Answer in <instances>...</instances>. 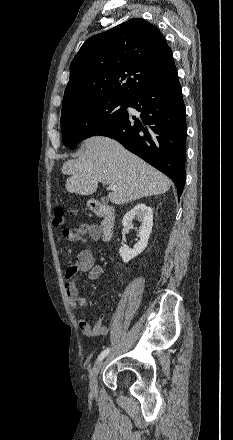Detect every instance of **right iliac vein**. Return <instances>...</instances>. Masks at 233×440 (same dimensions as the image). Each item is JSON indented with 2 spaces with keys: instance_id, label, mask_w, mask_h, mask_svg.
<instances>
[{
  "instance_id": "1",
  "label": "right iliac vein",
  "mask_w": 233,
  "mask_h": 440,
  "mask_svg": "<svg viewBox=\"0 0 233 440\" xmlns=\"http://www.w3.org/2000/svg\"><path fill=\"white\" fill-rule=\"evenodd\" d=\"M103 361L99 360L95 365L93 366L91 373H90V392L92 395H97L98 389H97V377L98 374L103 366Z\"/></svg>"
}]
</instances>
